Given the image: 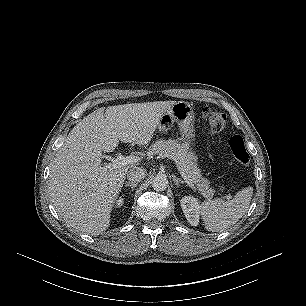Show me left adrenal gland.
<instances>
[{
  "label": "left adrenal gland",
  "mask_w": 306,
  "mask_h": 306,
  "mask_svg": "<svg viewBox=\"0 0 306 306\" xmlns=\"http://www.w3.org/2000/svg\"><path fill=\"white\" fill-rule=\"evenodd\" d=\"M173 181H174V184H175L177 187L179 186L180 183H181V184L184 183L183 180H181L180 178H176L175 176L173 177Z\"/></svg>",
  "instance_id": "obj_1"
}]
</instances>
